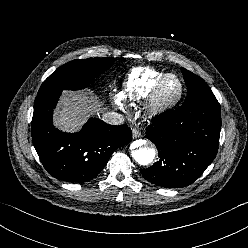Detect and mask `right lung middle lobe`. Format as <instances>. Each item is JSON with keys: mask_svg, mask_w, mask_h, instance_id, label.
Masks as SVG:
<instances>
[{"mask_svg": "<svg viewBox=\"0 0 248 248\" xmlns=\"http://www.w3.org/2000/svg\"><path fill=\"white\" fill-rule=\"evenodd\" d=\"M113 58H89L69 62L52 73L41 85L38 94L78 90L89 86L98 75L113 65Z\"/></svg>", "mask_w": 248, "mask_h": 248, "instance_id": "obj_1", "label": "right lung middle lobe"}]
</instances>
